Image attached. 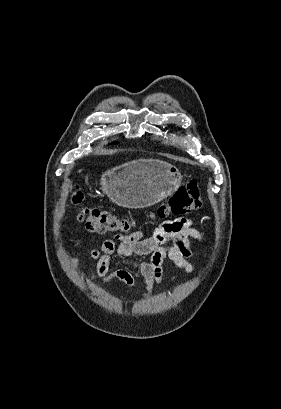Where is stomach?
I'll list each match as a JSON object with an SVG mask.
<instances>
[{
    "instance_id": "obj_1",
    "label": "stomach",
    "mask_w": 281,
    "mask_h": 409,
    "mask_svg": "<svg viewBox=\"0 0 281 409\" xmlns=\"http://www.w3.org/2000/svg\"><path fill=\"white\" fill-rule=\"evenodd\" d=\"M100 184L115 205L145 209L156 205L185 182L174 164L158 158H137L103 172Z\"/></svg>"
}]
</instances>
